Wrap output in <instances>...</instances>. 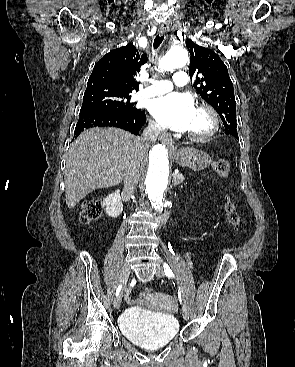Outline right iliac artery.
<instances>
[{
	"mask_svg": "<svg viewBox=\"0 0 295 367\" xmlns=\"http://www.w3.org/2000/svg\"><path fill=\"white\" fill-rule=\"evenodd\" d=\"M121 288H122V285H119L117 287V290H116V297L119 295L120 291H121Z\"/></svg>",
	"mask_w": 295,
	"mask_h": 367,
	"instance_id": "obj_1",
	"label": "right iliac artery"
}]
</instances>
